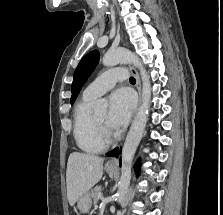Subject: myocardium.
I'll return each mask as SVG.
<instances>
[{
  "label": "myocardium",
  "mask_w": 223,
  "mask_h": 215,
  "mask_svg": "<svg viewBox=\"0 0 223 215\" xmlns=\"http://www.w3.org/2000/svg\"><path fill=\"white\" fill-rule=\"evenodd\" d=\"M94 124H95L97 139L101 144L105 145L106 147H109L115 145L118 142L119 137L115 133H113L111 139L107 138L106 128L103 126L101 122L98 121L95 115H94Z\"/></svg>",
  "instance_id": "myocardium-1"
}]
</instances>
